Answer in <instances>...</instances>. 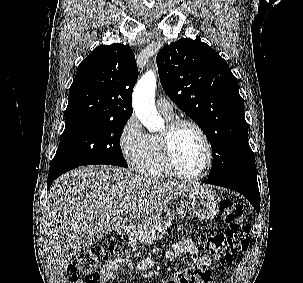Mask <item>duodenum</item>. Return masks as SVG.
Segmentation results:
<instances>
[{
    "mask_svg": "<svg viewBox=\"0 0 303 283\" xmlns=\"http://www.w3.org/2000/svg\"><path fill=\"white\" fill-rule=\"evenodd\" d=\"M133 227V224L131 221H126L124 222L121 227H120V232L123 231L124 229H130Z\"/></svg>",
    "mask_w": 303,
    "mask_h": 283,
    "instance_id": "obj_1",
    "label": "duodenum"
}]
</instances>
